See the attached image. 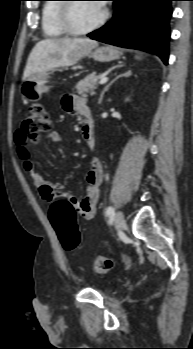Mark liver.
I'll return each instance as SVG.
<instances>
[{
	"label": "liver",
	"instance_id": "liver-1",
	"mask_svg": "<svg viewBox=\"0 0 193 349\" xmlns=\"http://www.w3.org/2000/svg\"><path fill=\"white\" fill-rule=\"evenodd\" d=\"M97 45V41L87 38L65 37L42 40L32 49L22 80L37 73L49 72L57 67L73 66Z\"/></svg>",
	"mask_w": 193,
	"mask_h": 349
}]
</instances>
